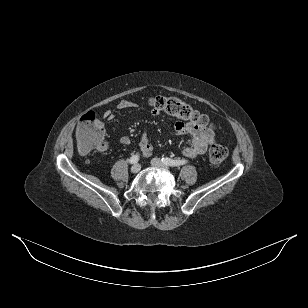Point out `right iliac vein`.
Returning <instances> with one entry per match:
<instances>
[{
    "instance_id": "63e3f726",
    "label": "right iliac vein",
    "mask_w": 308,
    "mask_h": 308,
    "mask_svg": "<svg viewBox=\"0 0 308 308\" xmlns=\"http://www.w3.org/2000/svg\"><path fill=\"white\" fill-rule=\"evenodd\" d=\"M141 169V166L139 164H134L132 167H131V172L132 173H138Z\"/></svg>"
}]
</instances>
